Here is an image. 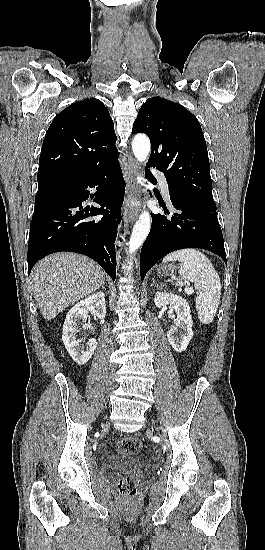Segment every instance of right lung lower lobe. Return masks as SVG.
I'll return each mask as SVG.
<instances>
[{
	"label": "right lung lower lobe",
	"mask_w": 265,
	"mask_h": 550,
	"mask_svg": "<svg viewBox=\"0 0 265 550\" xmlns=\"http://www.w3.org/2000/svg\"><path fill=\"white\" fill-rule=\"evenodd\" d=\"M96 187L94 201L101 207H82L93 198L89 188ZM125 182L116 162L96 174L76 178L35 201L28 245V275L43 257L71 251L87 255L98 262L115 280L114 242L121 215L114 211L122 205ZM111 210L110 214L107 209ZM103 214L101 220L91 217Z\"/></svg>",
	"instance_id": "right-lung-lower-lobe-1"
}]
</instances>
